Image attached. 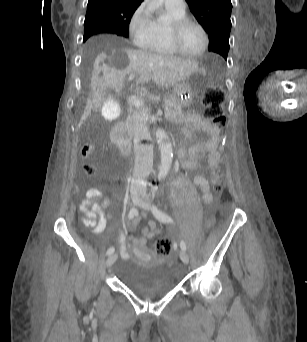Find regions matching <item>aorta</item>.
I'll list each match as a JSON object with an SVG mask.
<instances>
[{
    "label": "aorta",
    "instance_id": "1",
    "mask_svg": "<svg viewBox=\"0 0 307 342\" xmlns=\"http://www.w3.org/2000/svg\"><path fill=\"white\" fill-rule=\"evenodd\" d=\"M157 144L161 154V166L159 168L158 176L165 178L170 172L173 162V148L168 136L164 130H157L156 132Z\"/></svg>",
    "mask_w": 307,
    "mask_h": 342
}]
</instances>
